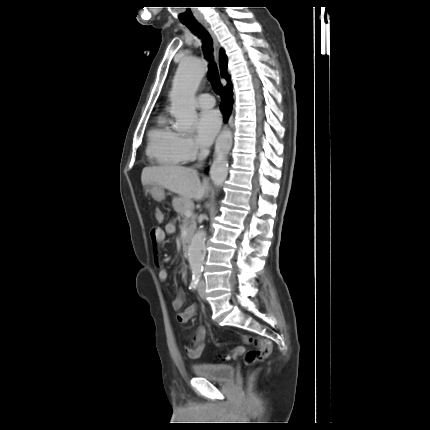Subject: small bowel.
<instances>
[{"instance_id":"c3829d8e","label":"small bowel","mask_w":430,"mask_h":430,"mask_svg":"<svg viewBox=\"0 0 430 430\" xmlns=\"http://www.w3.org/2000/svg\"><path fill=\"white\" fill-rule=\"evenodd\" d=\"M175 232V225L173 222L167 223L164 228L156 227L151 231V239L154 243L155 252L158 253L159 249L163 245V242L167 235H172ZM156 266L159 269L158 278L161 282H165L168 279V271L163 266L162 262L155 257ZM184 302V293L180 291L177 297L172 301V308L177 313V321L181 324L187 323L191 320L197 311L196 305L192 304L181 310ZM206 329L204 326H199L195 332V335L190 344H186L184 349L188 357L197 359L201 356L205 346Z\"/></svg>"}]
</instances>
